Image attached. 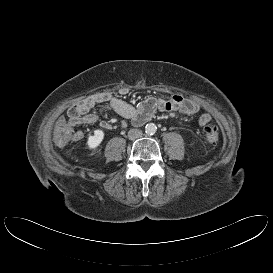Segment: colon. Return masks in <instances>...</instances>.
Segmentation results:
<instances>
[{
	"label": "colon",
	"instance_id": "5ec220e1",
	"mask_svg": "<svg viewBox=\"0 0 273 273\" xmlns=\"http://www.w3.org/2000/svg\"><path fill=\"white\" fill-rule=\"evenodd\" d=\"M204 134L206 139L212 143L216 144L219 141V133L215 126L207 125L204 127ZM73 131L71 124L65 120V118L60 117L55 126L54 139L59 145L66 144L73 138Z\"/></svg>",
	"mask_w": 273,
	"mask_h": 273
}]
</instances>
